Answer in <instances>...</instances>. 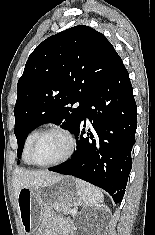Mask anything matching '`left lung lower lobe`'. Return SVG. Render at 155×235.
<instances>
[{"instance_id":"0a47b994","label":"left lung lower lobe","mask_w":155,"mask_h":235,"mask_svg":"<svg viewBox=\"0 0 155 235\" xmlns=\"http://www.w3.org/2000/svg\"><path fill=\"white\" fill-rule=\"evenodd\" d=\"M136 110L129 74L120 58L85 106L73 132L77 150L72 158L49 170L85 180L107 191L115 203L121 202L132 166ZM86 117L93 129L84 137Z\"/></svg>"}]
</instances>
